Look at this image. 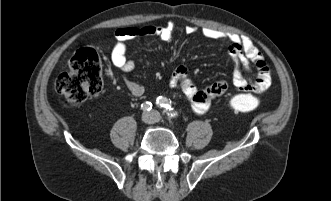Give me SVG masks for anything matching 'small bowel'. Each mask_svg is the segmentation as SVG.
<instances>
[{
	"label": "small bowel",
	"mask_w": 331,
	"mask_h": 201,
	"mask_svg": "<svg viewBox=\"0 0 331 201\" xmlns=\"http://www.w3.org/2000/svg\"><path fill=\"white\" fill-rule=\"evenodd\" d=\"M174 24L167 22L164 25H145L141 27H122L115 31V43L111 52L112 64L125 73L134 70L135 63L127 58V43L131 40L146 37H158L163 41H171L174 36ZM195 26H187V34L196 33ZM201 34L211 40H225L229 42L228 54L235 63L232 76L233 85L240 91L259 93L266 90L271 82L270 69L258 48L246 36L223 32L214 28H202ZM256 70V76L247 78L245 73ZM169 85L173 89H181L189 100L196 114H204L210 107L213 98L222 95L227 89V83L218 80L203 89H198L191 81L188 70L178 66L172 73ZM130 94L139 98L144 94V87L132 80L126 81Z\"/></svg>",
	"instance_id": "c3829d8e"
}]
</instances>
